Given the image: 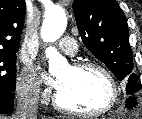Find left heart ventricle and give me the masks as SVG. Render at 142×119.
Returning <instances> with one entry per match:
<instances>
[{
	"instance_id": "left-heart-ventricle-1",
	"label": "left heart ventricle",
	"mask_w": 142,
	"mask_h": 119,
	"mask_svg": "<svg viewBox=\"0 0 142 119\" xmlns=\"http://www.w3.org/2000/svg\"><path fill=\"white\" fill-rule=\"evenodd\" d=\"M61 102L80 111H95L109 100L110 86L105 76L95 69L73 70L70 66L57 75Z\"/></svg>"
}]
</instances>
